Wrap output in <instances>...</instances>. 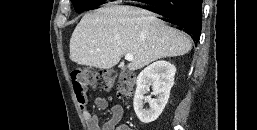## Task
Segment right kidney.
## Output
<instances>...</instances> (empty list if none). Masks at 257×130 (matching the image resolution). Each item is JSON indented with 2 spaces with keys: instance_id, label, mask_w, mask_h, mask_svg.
Here are the masks:
<instances>
[{
  "instance_id": "right-kidney-1",
  "label": "right kidney",
  "mask_w": 257,
  "mask_h": 130,
  "mask_svg": "<svg viewBox=\"0 0 257 130\" xmlns=\"http://www.w3.org/2000/svg\"><path fill=\"white\" fill-rule=\"evenodd\" d=\"M176 67L167 61H157L146 67L137 77V88L133 99L134 111L142 123L148 124L155 121L163 112L174 84ZM152 85L157 98L144 96L149 92ZM149 103L150 108H143L144 101Z\"/></svg>"
}]
</instances>
